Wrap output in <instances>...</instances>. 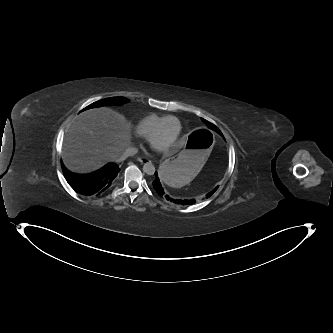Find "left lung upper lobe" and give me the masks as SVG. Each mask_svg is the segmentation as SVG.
Instances as JSON below:
<instances>
[{
  "instance_id": "5c2ea615",
  "label": "left lung upper lobe",
  "mask_w": 333,
  "mask_h": 333,
  "mask_svg": "<svg viewBox=\"0 0 333 333\" xmlns=\"http://www.w3.org/2000/svg\"><path fill=\"white\" fill-rule=\"evenodd\" d=\"M202 121L212 130L216 131L217 133H219L221 135V132L219 131V129L213 125L212 123L208 122L207 120L205 119H202Z\"/></svg>"
}]
</instances>
